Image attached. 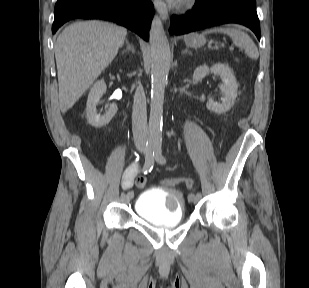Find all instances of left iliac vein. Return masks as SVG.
I'll return each instance as SVG.
<instances>
[{"mask_svg":"<svg viewBox=\"0 0 309 288\" xmlns=\"http://www.w3.org/2000/svg\"><path fill=\"white\" fill-rule=\"evenodd\" d=\"M188 199H189L190 202H197L199 200V198L193 197L192 195H189Z\"/></svg>","mask_w":309,"mask_h":288,"instance_id":"obj_1","label":"left iliac vein"}]
</instances>
